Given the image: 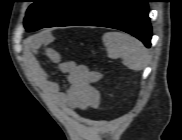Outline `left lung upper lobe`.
<instances>
[{"label":"left lung upper lobe","mask_w":182,"mask_h":140,"mask_svg":"<svg viewBox=\"0 0 182 140\" xmlns=\"http://www.w3.org/2000/svg\"><path fill=\"white\" fill-rule=\"evenodd\" d=\"M104 0H34L29 6L24 26L27 31L43 27L69 26Z\"/></svg>","instance_id":"left-lung-upper-lobe-1"}]
</instances>
